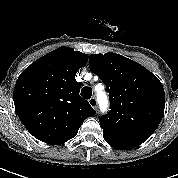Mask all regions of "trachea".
I'll return each instance as SVG.
<instances>
[{"label":"trachea","instance_id":"trachea-1","mask_svg":"<svg viewBox=\"0 0 178 178\" xmlns=\"http://www.w3.org/2000/svg\"><path fill=\"white\" fill-rule=\"evenodd\" d=\"M81 96L84 99H90L92 96V89L90 87H83L81 89Z\"/></svg>","mask_w":178,"mask_h":178}]
</instances>
